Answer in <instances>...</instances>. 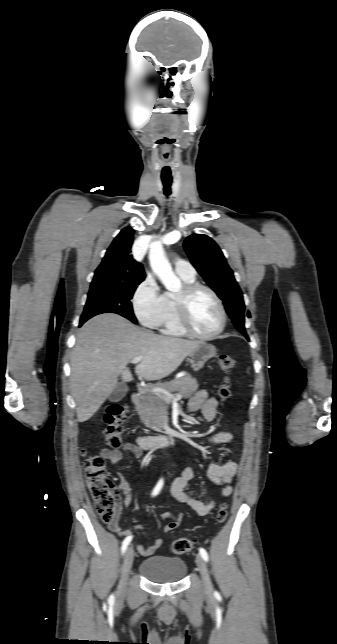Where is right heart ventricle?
<instances>
[{"label":"right heart ventricle","instance_id":"obj_1","mask_svg":"<svg viewBox=\"0 0 337 644\" xmlns=\"http://www.w3.org/2000/svg\"><path fill=\"white\" fill-rule=\"evenodd\" d=\"M178 275L185 284L195 282V276ZM157 327L162 334L167 336L183 337L186 335L178 324L175 312V295L170 292L163 295V313Z\"/></svg>","mask_w":337,"mask_h":644}]
</instances>
